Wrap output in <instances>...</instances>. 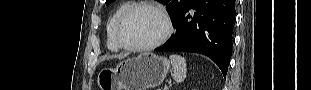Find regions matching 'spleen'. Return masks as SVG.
I'll use <instances>...</instances> for the list:
<instances>
[{"label": "spleen", "mask_w": 311, "mask_h": 90, "mask_svg": "<svg viewBox=\"0 0 311 90\" xmlns=\"http://www.w3.org/2000/svg\"><path fill=\"white\" fill-rule=\"evenodd\" d=\"M170 62L173 68V77L177 83H181L186 78V59L180 55H171Z\"/></svg>", "instance_id": "spleen-1"}]
</instances>
